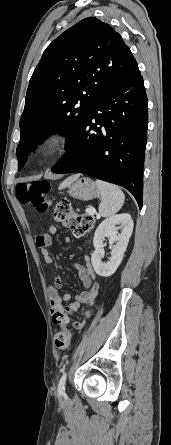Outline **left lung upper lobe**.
<instances>
[{"label":"left lung upper lobe","instance_id":"obj_1","mask_svg":"<svg viewBox=\"0 0 171 445\" xmlns=\"http://www.w3.org/2000/svg\"><path fill=\"white\" fill-rule=\"evenodd\" d=\"M136 65L121 36L94 17L56 38L44 51L28 86L20 119L19 168L50 134L59 131L72 141L108 84Z\"/></svg>","mask_w":171,"mask_h":445}]
</instances>
